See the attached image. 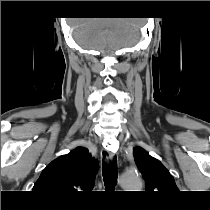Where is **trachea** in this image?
Wrapping results in <instances>:
<instances>
[{
  "label": "trachea",
  "instance_id": "1",
  "mask_svg": "<svg viewBox=\"0 0 210 210\" xmlns=\"http://www.w3.org/2000/svg\"><path fill=\"white\" fill-rule=\"evenodd\" d=\"M103 181L106 187H114L117 182V158L111 161L109 166L103 165Z\"/></svg>",
  "mask_w": 210,
  "mask_h": 210
}]
</instances>
